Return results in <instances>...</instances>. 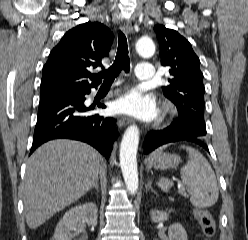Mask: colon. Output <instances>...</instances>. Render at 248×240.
I'll return each instance as SVG.
<instances>
[{"label": "colon", "mask_w": 248, "mask_h": 240, "mask_svg": "<svg viewBox=\"0 0 248 240\" xmlns=\"http://www.w3.org/2000/svg\"><path fill=\"white\" fill-rule=\"evenodd\" d=\"M194 215L201 226L206 240L212 239L216 233V224L211 213L204 209H196Z\"/></svg>", "instance_id": "1"}]
</instances>
